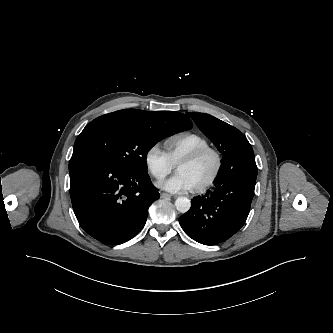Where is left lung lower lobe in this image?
Masks as SVG:
<instances>
[{
    "label": "left lung lower lobe",
    "instance_id": "obj_1",
    "mask_svg": "<svg viewBox=\"0 0 333 333\" xmlns=\"http://www.w3.org/2000/svg\"><path fill=\"white\" fill-rule=\"evenodd\" d=\"M257 172L250 144L225 157L214 188L194 197L189 211L179 217L183 230L205 245H217L233 236L248 217Z\"/></svg>",
    "mask_w": 333,
    "mask_h": 333
}]
</instances>
